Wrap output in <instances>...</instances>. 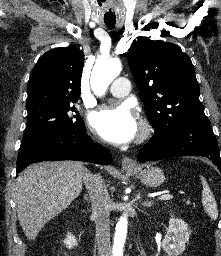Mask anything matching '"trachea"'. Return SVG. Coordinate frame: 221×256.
Instances as JSON below:
<instances>
[{
  "mask_svg": "<svg viewBox=\"0 0 221 256\" xmlns=\"http://www.w3.org/2000/svg\"><path fill=\"white\" fill-rule=\"evenodd\" d=\"M105 24L110 29H112L115 26V22H111V23L105 22Z\"/></svg>",
  "mask_w": 221,
  "mask_h": 256,
  "instance_id": "trachea-1",
  "label": "trachea"
}]
</instances>
